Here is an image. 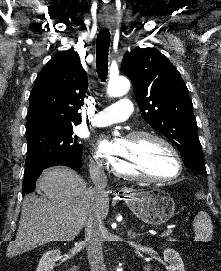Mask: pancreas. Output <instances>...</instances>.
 Returning a JSON list of instances; mask_svg holds the SVG:
<instances>
[{"mask_svg":"<svg viewBox=\"0 0 221 271\" xmlns=\"http://www.w3.org/2000/svg\"><path fill=\"white\" fill-rule=\"evenodd\" d=\"M167 244H174V239H167Z\"/></svg>","mask_w":221,"mask_h":271,"instance_id":"1","label":"pancreas"}]
</instances>
